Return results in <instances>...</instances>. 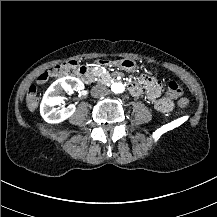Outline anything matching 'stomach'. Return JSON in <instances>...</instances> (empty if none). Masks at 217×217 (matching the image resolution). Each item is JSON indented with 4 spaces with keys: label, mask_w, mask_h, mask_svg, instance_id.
Returning <instances> with one entry per match:
<instances>
[{
    "label": "stomach",
    "mask_w": 217,
    "mask_h": 217,
    "mask_svg": "<svg viewBox=\"0 0 217 217\" xmlns=\"http://www.w3.org/2000/svg\"><path fill=\"white\" fill-rule=\"evenodd\" d=\"M119 68L122 70L128 72V73H133L136 71L137 68V62L133 59H122L118 62Z\"/></svg>",
    "instance_id": "obj_1"
}]
</instances>
